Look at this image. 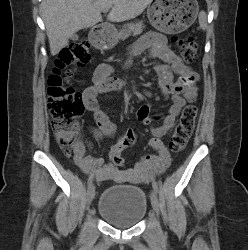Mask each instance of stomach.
I'll return each instance as SVG.
<instances>
[{"instance_id":"stomach-1","label":"stomach","mask_w":248,"mask_h":250,"mask_svg":"<svg viewBox=\"0 0 248 250\" xmlns=\"http://www.w3.org/2000/svg\"><path fill=\"white\" fill-rule=\"evenodd\" d=\"M199 6L196 0H155L147 8L151 25L166 34L180 33L189 28L197 18ZM116 31L101 36L107 41V48L113 47L117 38Z\"/></svg>"}]
</instances>
